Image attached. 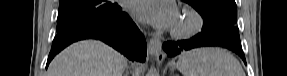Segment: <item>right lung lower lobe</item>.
<instances>
[{
    "mask_svg": "<svg viewBox=\"0 0 287 76\" xmlns=\"http://www.w3.org/2000/svg\"><path fill=\"white\" fill-rule=\"evenodd\" d=\"M99 39L112 46L130 60H146V41L143 34L128 16L122 12L111 19L74 26L55 37L47 60L50 61L69 44L82 39Z\"/></svg>",
    "mask_w": 287,
    "mask_h": 76,
    "instance_id": "obj_1",
    "label": "right lung lower lobe"
}]
</instances>
